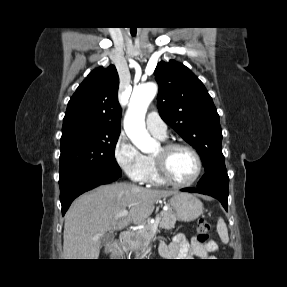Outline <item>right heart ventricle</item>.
<instances>
[{"label":"right heart ventricle","instance_id":"right-heart-ventricle-1","mask_svg":"<svg viewBox=\"0 0 287 287\" xmlns=\"http://www.w3.org/2000/svg\"><path fill=\"white\" fill-rule=\"evenodd\" d=\"M146 159V171L143 177V181L144 183L150 184V185H154V186H162L164 185L166 182H164L156 169L154 160L152 156H145Z\"/></svg>","mask_w":287,"mask_h":287}]
</instances>
